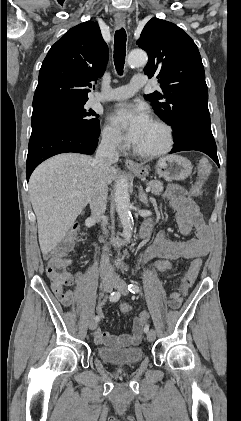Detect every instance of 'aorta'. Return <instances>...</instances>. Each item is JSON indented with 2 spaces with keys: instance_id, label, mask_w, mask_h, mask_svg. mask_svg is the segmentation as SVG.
Wrapping results in <instances>:
<instances>
[{
  "instance_id": "1",
  "label": "aorta",
  "mask_w": 241,
  "mask_h": 421,
  "mask_svg": "<svg viewBox=\"0 0 241 421\" xmlns=\"http://www.w3.org/2000/svg\"><path fill=\"white\" fill-rule=\"evenodd\" d=\"M147 60L146 52L136 49L129 53L127 62L131 67H138L146 64ZM115 206L123 227L124 238L126 241H129L132 236L134 221L130 211L128 182L124 176L118 179L115 186Z\"/></svg>"
}]
</instances>
